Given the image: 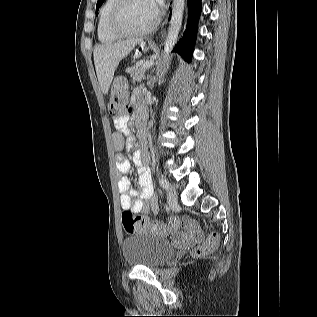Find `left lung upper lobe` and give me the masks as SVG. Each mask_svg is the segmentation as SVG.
I'll return each instance as SVG.
<instances>
[{
    "label": "left lung upper lobe",
    "mask_w": 317,
    "mask_h": 317,
    "mask_svg": "<svg viewBox=\"0 0 317 317\" xmlns=\"http://www.w3.org/2000/svg\"><path fill=\"white\" fill-rule=\"evenodd\" d=\"M105 0H98L96 5V13L98 12L99 7L103 4Z\"/></svg>",
    "instance_id": "1"
}]
</instances>
